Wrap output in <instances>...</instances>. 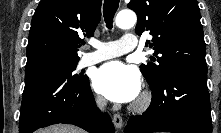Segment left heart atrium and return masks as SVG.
<instances>
[{
  "label": "left heart atrium",
  "mask_w": 221,
  "mask_h": 133,
  "mask_svg": "<svg viewBox=\"0 0 221 133\" xmlns=\"http://www.w3.org/2000/svg\"><path fill=\"white\" fill-rule=\"evenodd\" d=\"M94 89L114 102H130L141 90L137 70L120 61H111L100 66L93 76Z\"/></svg>",
  "instance_id": "left-heart-atrium-1"
}]
</instances>
